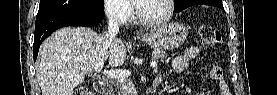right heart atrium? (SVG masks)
Here are the masks:
<instances>
[{
  "mask_svg": "<svg viewBox=\"0 0 277 95\" xmlns=\"http://www.w3.org/2000/svg\"><path fill=\"white\" fill-rule=\"evenodd\" d=\"M103 7L107 17L118 23H124L131 16V9L126 0H104Z\"/></svg>",
  "mask_w": 277,
  "mask_h": 95,
  "instance_id": "1",
  "label": "right heart atrium"
}]
</instances>
